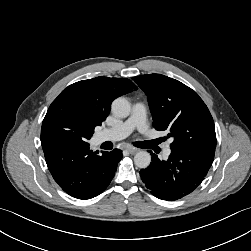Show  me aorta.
Wrapping results in <instances>:
<instances>
[{"instance_id": "aorta-1", "label": "aorta", "mask_w": 251, "mask_h": 251, "mask_svg": "<svg viewBox=\"0 0 251 251\" xmlns=\"http://www.w3.org/2000/svg\"><path fill=\"white\" fill-rule=\"evenodd\" d=\"M112 113L121 118H126L131 112V105L124 97L116 98L111 105ZM135 165L139 168H147L151 163V155L147 151H140L134 156Z\"/></svg>"}]
</instances>
